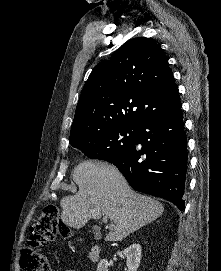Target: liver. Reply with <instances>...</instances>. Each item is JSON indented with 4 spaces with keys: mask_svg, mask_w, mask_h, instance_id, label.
<instances>
[{
    "mask_svg": "<svg viewBox=\"0 0 221 271\" xmlns=\"http://www.w3.org/2000/svg\"><path fill=\"white\" fill-rule=\"evenodd\" d=\"M76 195L61 199V219L70 227H83L88 219L108 215L111 231L106 241H122L136 229L154 221L164 207L157 199L131 189L115 165L102 161H82L74 167Z\"/></svg>",
    "mask_w": 221,
    "mask_h": 271,
    "instance_id": "liver-1",
    "label": "liver"
}]
</instances>
